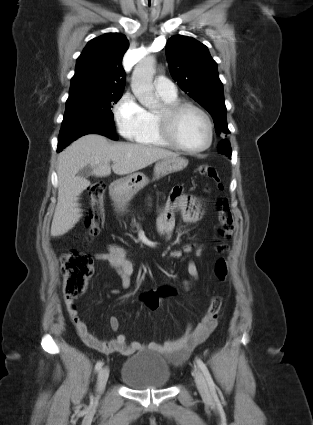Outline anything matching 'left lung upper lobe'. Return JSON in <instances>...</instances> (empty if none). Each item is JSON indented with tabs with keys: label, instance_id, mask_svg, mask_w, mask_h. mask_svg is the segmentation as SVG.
Segmentation results:
<instances>
[{
	"label": "left lung upper lobe",
	"instance_id": "obj_1",
	"mask_svg": "<svg viewBox=\"0 0 313 425\" xmlns=\"http://www.w3.org/2000/svg\"><path fill=\"white\" fill-rule=\"evenodd\" d=\"M166 57L173 79L184 92L211 114L216 133H230L226 120L223 84L218 76L217 64L208 48L192 37L176 35L167 41ZM218 149L221 154H232L228 140H223Z\"/></svg>",
	"mask_w": 313,
	"mask_h": 425
}]
</instances>
